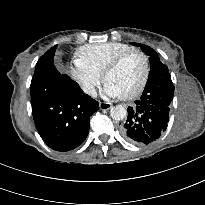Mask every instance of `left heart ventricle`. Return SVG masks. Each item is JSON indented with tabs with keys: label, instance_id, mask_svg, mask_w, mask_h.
Instances as JSON below:
<instances>
[{
	"label": "left heart ventricle",
	"instance_id": "b2bd125f",
	"mask_svg": "<svg viewBox=\"0 0 205 205\" xmlns=\"http://www.w3.org/2000/svg\"><path fill=\"white\" fill-rule=\"evenodd\" d=\"M143 74V61L137 54L126 57L121 64L105 79V83L110 84L119 93L125 95L138 85Z\"/></svg>",
	"mask_w": 205,
	"mask_h": 205
}]
</instances>
